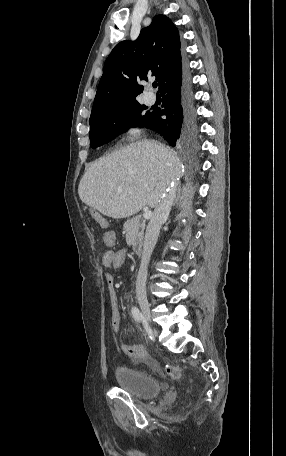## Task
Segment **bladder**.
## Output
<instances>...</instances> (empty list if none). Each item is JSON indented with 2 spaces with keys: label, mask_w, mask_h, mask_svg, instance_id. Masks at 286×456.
<instances>
[{
  "label": "bladder",
  "mask_w": 286,
  "mask_h": 456,
  "mask_svg": "<svg viewBox=\"0 0 286 456\" xmlns=\"http://www.w3.org/2000/svg\"><path fill=\"white\" fill-rule=\"evenodd\" d=\"M115 375L119 388L139 398L155 397L162 392L161 383L146 372L120 365L116 368Z\"/></svg>",
  "instance_id": "1"
}]
</instances>
